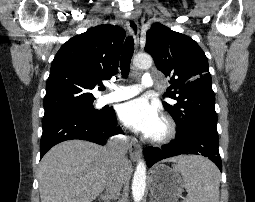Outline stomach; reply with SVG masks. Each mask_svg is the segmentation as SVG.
Returning a JSON list of instances; mask_svg holds the SVG:
<instances>
[{"mask_svg": "<svg viewBox=\"0 0 255 202\" xmlns=\"http://www.w3.org/2000/svg\"><path fill=\"white\" fill-rule=\"evenodd\" d=\"M149 187L158 202H178L184 183L177 171L160 164L152 171Z\"/></svg>", "mask_w": 255, "mask_h": 202, "instance_id": "1", "label": "stomach"}]
</instances>
